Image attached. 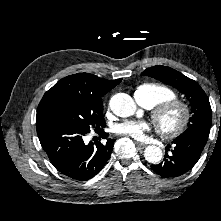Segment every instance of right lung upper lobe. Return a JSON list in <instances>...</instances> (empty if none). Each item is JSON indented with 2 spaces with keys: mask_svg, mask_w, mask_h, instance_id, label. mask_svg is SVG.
<instances>
[{
  "mask_svg": "<svg viewBox=\"0 0 221 221\" xmlns=\"http://www.w3.org/2000/svg\"><path fill=\"white\" fill-rule=\"evenodd\" d=\"M121 79L106 80L89 73H78L58 81L43 96L38 107H43L61 97L79 96L102 101L107 92L113 89Z\"/></svg>",
  "mask_w": 221,
  "mask_h": 221,
  "instance_id": "obj_1",
  "label": "right lung upper lobe"
}]
</instances>
